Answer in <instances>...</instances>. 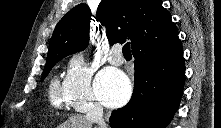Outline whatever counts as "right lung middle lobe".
Returning a JSON list of instances; mask_svg holds the SVG:
<instances>
[{"instance_id":"1","label":"right lung middle lobe","mask_w":221,"mask_h":128,"mask_svg":"<svg viewBox=\"0 0 221 128\" xmlns=\"http://www.w3.org/2000/svg\"><path fill=\"white\" fill-rule=\"evenodd\" d=\"M61 59H62V58H60V59H58V60L51 61V62L45 64L44 72H43V74H42V80H44V78L48 75V73L50 72V70L52 69V67H53L59 60H61Z\"/></svg>"}]
</instances>
